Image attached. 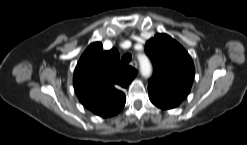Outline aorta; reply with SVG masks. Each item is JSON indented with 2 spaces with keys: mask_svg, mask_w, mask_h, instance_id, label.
<instances>
[{
  "mask_svg": "<svg viewBox=\"0 0 247 145\" xmlns=\"http://www.w3.org/2000/svg\"><path fill=\"white\" fill-rule=\"evenodd\" d=\"M140 71L144 77H149L152 73V66L146 57L140 58Z\"/></svg>",
  "mask_w": 247,
  "mask_h": 145,
  "instance_id": "762f6f07",
  "label": "aorta"
}]
</instances>
